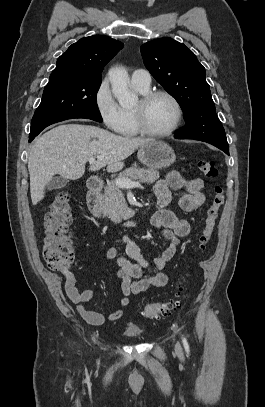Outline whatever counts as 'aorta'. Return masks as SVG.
<instances>
[{
    "label": "aorta",
    "mask_w": 265,
    "mask_h": 407,
    "mask_svg": "<svg viewBox=\"0 0 265 407\" xmlns=\"http://www.w3.org/2000/svg\"><path fill=\"white\" fill-rule=\"evenodd\" d=\"M109 79L111 82L112 93L122 107L133 106L137 102L136 95L128 88L129 77L127 71L117 66L110 69Z\"/></svg>",
    "instance_id": "1"
}]
</instances>
